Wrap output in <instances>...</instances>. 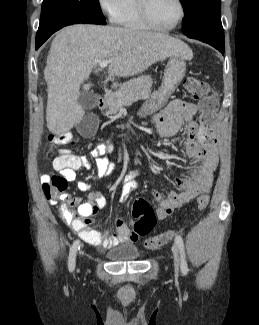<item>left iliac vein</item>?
<instances>
[{
	"label": "left iliac vein",
	"instance_id": "1",
	"mask_svg": "<svg viewBox=\"0 0 259 325\" xmlns=\"http://www.w3.org/2000/svg\"><path fill=\"white\" fill-rule=\"evenodd\" d=\"M172 253H173V259H174L175 271L178 272V270H179V255H178V248H177L176 244H173V246H172Z\"/></svg>",
	"mask_w": 259,
	"mask_h": 325
}]
</instances>
